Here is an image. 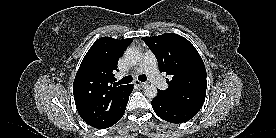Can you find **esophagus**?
Instances as JSON below:
<instances>
[{
	"mask_svg": "<svg viewBox=\"0 0 276 138\" xmlns=\"http://www.w3.org/2000/svg\"><path fill=\"white\" fill-rule=\"evenodd\" d=\"M137 86H139V87H144V86H146L147 85V83L146 82H140V81H135L134 82Z\"/></svg>",
	"mask_w": 276,
	"mask_h": 138,
	"instance_id": "esophagus-1",
	"label": "esophagus"
}]
</instances>
